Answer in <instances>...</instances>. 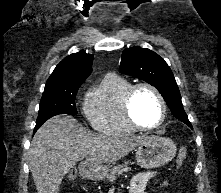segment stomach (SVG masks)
<instances>
[{"mask_svg":"<svg viewBox=\"0 0 221 193\" xmlns=\"http://www.w3.org/2000/svg\"><path fill=\"white\" fill-rule=\"evenodd\" d=\"M176 145L165 137H150L136 149V161L144 168H157L170 162L176 154ZM81 175L89 179H102L109 173V166H93L82 162L79 166Z\"/></svg>","mask_w":221,"mask_h":193,"instance_id":"stomach-1","label":"stomach"}]
</instances>
